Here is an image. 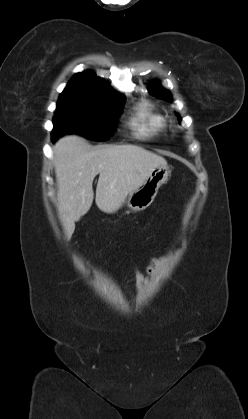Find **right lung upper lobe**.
Masks as SVG:
<instances>
[{"mask_svg": "<svg viewBox=\"0 0 248 419\" xmlns=\"http://www.w3.org/2000/svg\"><path fill=\"white\" fill-rule=\"evenodd\" d=\"M63 93L98 100H115L124 97L112 88H107V83L91 71L76 74L67 84Z\"/></svg>", "mask_w": 248, "mask_h": 419, "instance_id": "obj_1", "label": "right lung upper lobe"}]
</instances>
